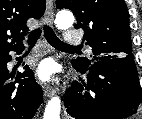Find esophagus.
<instances>
[{
	"instance_id": "34e87169",
	"label": "esophagus",
	"mask_w": 142,
	"mask_h": 119,
	"mask_svg": "<svg viewBox=\"0 0 142 119\" xmlns=\"http://www.w3.org/2000/svg\"><path fill=\"white\" fill-rule=\"evenodd\" d=\"M53 18H54V11H53V1L47 0L46 1V10H45V22L52 26L53 24ZM42 90L44 92V95L47 97H51L55 94V89L45 83L41 84Z\"/></svg>"
}]
</instances>
